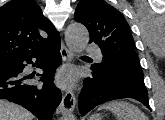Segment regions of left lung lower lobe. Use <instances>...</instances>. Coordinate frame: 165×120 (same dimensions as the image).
<instances>
[{
    "instance_id": "1",
    "label": "left lung lower lobe",
    "mask_w": 165,
    "mask_h": 120,
    "mask_svg": "<svg viewBox=\"0 0 165 120\" xmlns=\"http://www.w3.org/2000/svg\"><path fill=\"white\" fill-rule=\"evenodd\" d=\"M91 70L92 74L84 80V86L79 95L78 106L82 115L87 114L97 105L122 98H133L150 109L145 86L118 83L113 77L100 75L93 64Z\"/></svg>"
}]
</instances>
